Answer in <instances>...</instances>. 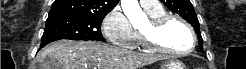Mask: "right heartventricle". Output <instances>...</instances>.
I'll list each match as a JSON object with an SVG mask.
<instances>
[{
  "label": "right heart ventricle",
  "mask_w": 246,
  "mask_h": 69,
  "mask_svg": "<svg viewBox=\"0 0 246 69\" xmlns=\"http://www.w3.org/2000/svg\"><path fill=\"white\" fill-rule=\"evenodd\" d=\"M145 12L149 15L150 18H156L167 14V12L162 6L154 9H145ZM136 43L145 46L144 43L142 42L140 34H137L136 36Z\"/></svg>",
  "instance_id": "obj_1"
}]
</instances>
